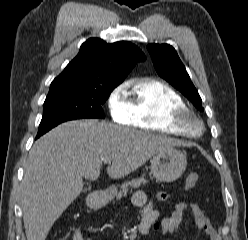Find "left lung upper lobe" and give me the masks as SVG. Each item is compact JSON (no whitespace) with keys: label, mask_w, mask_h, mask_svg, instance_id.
Returning <instances> with one entry per match:
<instances>
[{"label":"left lung upper lobe","mask_w":248,"mask_h":240,"mask_svg":"<svg viewBox=\"0 0 248 240\" xmlns=\"http://www.w3.org/2000/svg\"><path fill=\"white\" fill-rule=\"evenodd\" d=\"M147 49L157 73L183 93L194 106L203 111L201 98L176 50L168 44H149Z\"/></svg>","instance_id":"1"}]
</instances>
